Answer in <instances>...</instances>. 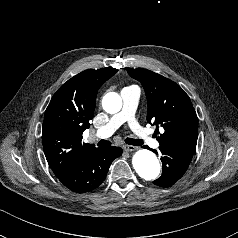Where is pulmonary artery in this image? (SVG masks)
<instances>
[{"label":"pulmonary artery","mask_w":238,"mask_h":238,"mask_svg":"<svg viewBox=\"0 0 238 238\" xmlns=\"http://www.w3.org/2000/svg\"><path fill=\"white\" fill-rule=\"evenodd\" d=\"M121 97L123 101L121 111L113 115L107 124L95 132V135L100 138H107L111 136L124 122H129V125L136 136L152 147L157 148L159 143L150 136L148 130L142 127L134 119V113L139 100L138 89L135 87H125L121 90Z\"/></svg>","instance_id":"1"}]
</instances>
